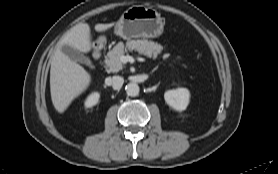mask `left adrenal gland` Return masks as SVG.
Here are the masks:
<instances>
[{
	"instance_id": "1",
	"label": "left adrenal gland",
	"mask_w": 278,
	"mask_h": 174,
	"mask_svg": "<svg viewBox=\"0 0 278 174\" xmlns=\"http://www.w3.org/2000/svg\"><path fill=\"white\" fill-rule=\"evenodd\" d=\"M157 69H158V67L154 68L151 73L155 72Z\"/></svg>"
}]
</instances>
